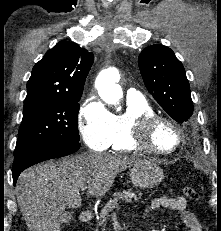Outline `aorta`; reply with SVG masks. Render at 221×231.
I'll return each instance as SVG.
<instances>
[{"label":"aorta","instance_id":"aorta-1","mask_svg":"<svg viewBox=\"0 0 221 231\" xmlns=\"http://www.w3.org/2000/svg\"><path fill=\"white\" fill-rule=\"evenodd\" d=\"M120 80L119 71L116 68L103 70L97 77L95 86L102 100L110 105H117L122 98L123 92L118 85Z\"/></svg>","mask_w":221,"mask_h":231}]
</instances>
